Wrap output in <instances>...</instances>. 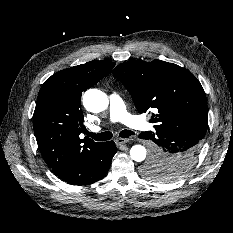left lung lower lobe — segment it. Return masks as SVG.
Listing matches in <instances>:
<instances>
[{
	"label": "left lung lower lobe",
	"mask_w": 233,
	"mask_h": 233,
	"mask_svg": "<svg viewBox=\"0 0 233 233\" xmlns=\"http://www.w3.org/2000/svg\"><path fill=\"white\" fill-rule=\"evenodd\" d=\"M139 137L155 143L152 158L160 159L171 168L159 171L158 175L173 180L182 177L190 169L202 141L196 132L182 129L147 131Z\"/></svg>",
	"instance_id": "1"
}]
</instances>
